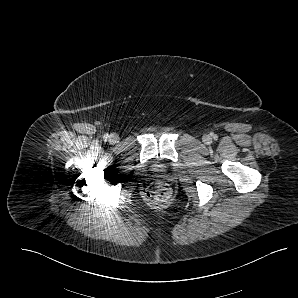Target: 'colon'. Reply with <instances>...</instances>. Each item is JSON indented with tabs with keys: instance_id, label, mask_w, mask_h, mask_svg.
Masks as SVG:
<instances>
[{
	"instance_id": "colon-1",
	"label": "colon",
	"mask_w": 298,
	"mask_h": 298,
	"mask_svg": "<svg viewBox=\"0 0 298 298\" xmlns=\"http://www.w3.org/2000/svg\"><path fill=\"white\" fill-rule=\"evenodd\" d=\"M146 195L151 201L164 202L170 198L171 190L166 182L155 181L149 186Z\"/></svg>"
}]
</instances>
